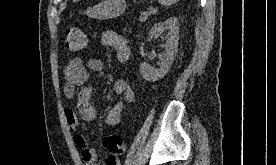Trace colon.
Returning <instances> with one entry per match:
<instances>
[{"instance_id":"obj_1","label":"colon","mask_w":276,"mask_h":165,"mask_svg":"<svg viewBox=\"0 0 276 165\" xmlns=\"http://www.w3.org/2000/svg\"><path fill=\"white\" fill-rule=\"evenodd\" d=\"M64 42L66 49L70 52L82 51L87 46L86 35L77 27L66 29ZM103 146L110 156H117L125 152L126 142L123 136L112 134L103 139Z\"/></svg>"}]
</instances>
